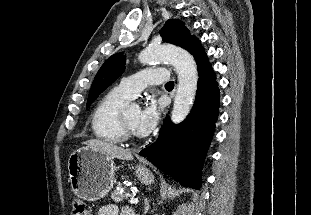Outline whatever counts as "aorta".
Wrapping results in <instances>:
<instances>
[{"label":"aorta","mask_w":311,"mask_h":215,"mask_svg":"<svg viewBox=\"0 0 311 215\" xmlns=\"http://www.w3.org/2000/svg\"><path fill=\"white\" fill-rule=\"evenodd\" d=\"M143 64L167 61L178 74V87L171 114L173 123H181L189 114L195 99L198 73L193 56L186 50L173 45H150L139 54Z\"/></svg>","instance_id":"762f6f07"}]
</instances>
